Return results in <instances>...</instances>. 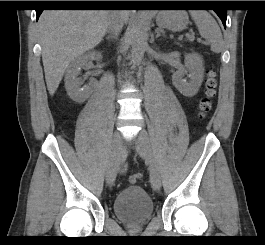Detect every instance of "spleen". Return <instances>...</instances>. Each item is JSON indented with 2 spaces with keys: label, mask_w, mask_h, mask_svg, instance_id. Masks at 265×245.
Instances as JSON below:
<instances>
[{
  "label": "spleen",
  "mask_w": 265,
  "mask_h": 245,
  "mask_svg": "<svg viewBox=\"0 0 265 245\" xmlns=\"http://www.w3.org/2000/svg\"><path fill=\"white\" fill-rule=\"evenodd\" d=\"M200 35L211 44V50L220 53L224 48L221 30L214 18L203 10L190 11Z\"/></svg>",
  "instance_id": "obj_1"
}]
</instances>
